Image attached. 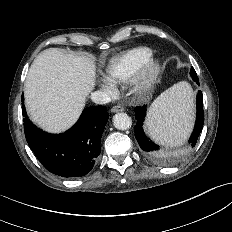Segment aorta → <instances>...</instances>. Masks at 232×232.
I'll use <instances>...</instances> for the list:
<instances>
[{
    "instance_id": "762f6f07",
    "label": "aorta",
    "mask_w": 232,
    "mask_h": 232,
    "mask_svg": "<svg viewBox=\"0 0 232 232\" xmlns=\"http://www.w3.org/2000/svg\"><path fill=\"white\" fill-rule=\"evenodd\" d=\"M113 124L119 130L129 129L132 125L130 116L126 113H117L113 117Z\"/></svg>"
}]
</instances>
